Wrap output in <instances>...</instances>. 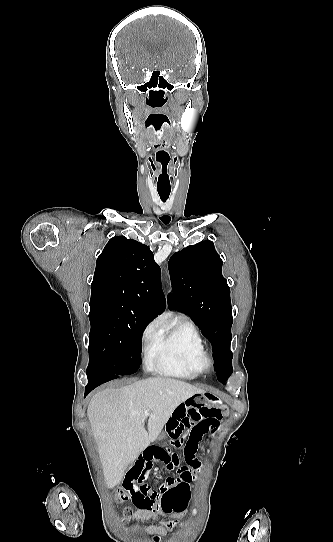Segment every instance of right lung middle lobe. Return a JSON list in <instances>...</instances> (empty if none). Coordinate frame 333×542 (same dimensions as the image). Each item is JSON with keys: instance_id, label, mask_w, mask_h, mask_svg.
<instances>
[{"instance_id": "dd1d6c3e", "label": "right lung middle lobe", "mask_w": 333, "mask_h": 542, "mask_svg": "<svg viewBox=\"0 0 333 542\" xmlns=\"http://www.w3.org/2000/svg\"><path fill=\"white\" fill-rule=\"evenodd\" d=\"M89 366L130 375L141 364V338L150 318L109 307L90 309Z\"/></svg>"}]
</instances>
